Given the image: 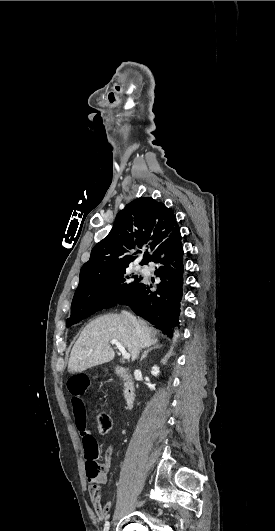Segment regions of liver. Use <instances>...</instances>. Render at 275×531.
Masks as SVG:
<instances>
[{
	"label": "liver",
	"instance_id": "6515ba94",
	"mask_svg": "<svg viewBox=\"0 0 275 531\" xmlns=\"http://www.w3.org/2000/svg\"><path fill=\"white\" fill-rule=\"evenodd\" d=\"M138 323L140 333H136L134 325L130 323L126 315L109 313V315H103L91 321L83 329L71 351L68 363L69 373H83L86 369L112 361L115 353L109 343L113 339L126 347L131 353L132 361H135L141 349L157 343V339H152L145 321L138 319Z\"/></svg>",
	"mask_w": 275,
	"mask_h": 531
}]
</instances>
